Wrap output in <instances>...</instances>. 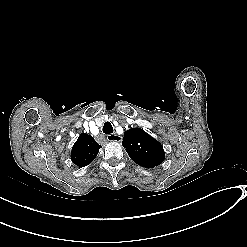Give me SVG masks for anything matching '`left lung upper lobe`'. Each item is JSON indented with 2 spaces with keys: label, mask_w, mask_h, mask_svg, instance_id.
Segmentation results:
<instances>
[{
  "label": "left lung upper lobe",
  "mask_w": 247,
  "mask_h": 247,
  "mask_svg": "<svg viewBox=\"0 0 247 247\" xmlns=\"http://www.w3.org/2000/svg\"><path fill=\"white\" fill-rule=\"evenodd\" d=\"M129 157L144 168L161 164L165 153L163 146L141 128H131L124 134L122 142Z\"/></svg>",
  "instance_id": "left-lung-upper-lobe-1"
}]
</instances>
